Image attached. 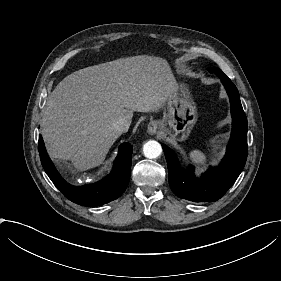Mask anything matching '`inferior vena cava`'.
<instances>
[{
    "label": "inferior vena cava",
    "instance_id": "602c4592",
    "mask_svg": "<svg viewBox=\"0 0 281 281\" xmlns=\"http://www.w3.org/2000/svg\"><path fill=\"white\" fill-rule=\"evenodd\" d=\"M129 126H130V122H128L127 120H125L123 118L119 119L118 121H116L114 123L115 129L121 133L127 132L129 129Z\"/></svg>",
    "mask_w": 281,
    "mask_h": 281
}]
</instances>
